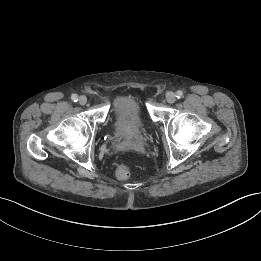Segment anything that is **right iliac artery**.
I'll list each match as a JSON object with an SVG mask.
<instances>
[{
	"label": "right iliac artery",
	"instance_id": "82829eb1",
	"mask_svg": "<svg viewBox=\"0 0 261 261\" xmlns=\"http://www.w3.org/2000/svg\"><path fill=\"white\" fill-rule=\"evenodd\" d=\"M71 99L74 101V102H77L78 101V96L76 94H73L71 96Z\"/></svg>",
	"mask_w": 261,
	"mask_h": 261
}]
</instances>
